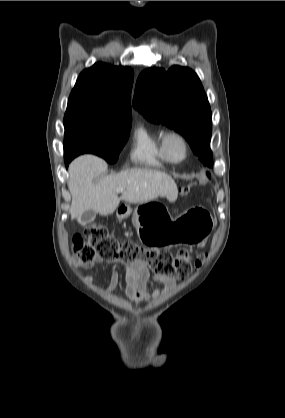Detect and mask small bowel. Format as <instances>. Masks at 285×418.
<instances>
[{
	"label": "small bowel",
	"mask_w": 285,
	"mask_h": 418,
	"mask_svg": "<svg viewBox=\"0 0 285 418\" xmlns=\"http://www.w3.org/2000/svg\"><path fill=\"white\" fill-rule=\"evenodd\" d=\"M73 261L76 265L83 269L89 270L91 273L86 276L85 280L87 283H92L95 277V265L101 263L100 259H97L94 263L89 265H81L78 263L77 259L74 258ZM126 272V296L134 301H140L146 298L148 290V281L150 278V271L148 265L144 263H137L132 265L125 266ZM168 284H173L172 280H161ZM120 283V275L118 272L114 271L111 274L110 280L107 285V291L112 292ZM160 295V289H155L152 292V298H157Z\"/></svg>",
	"instance_id": "c3829d8e"
}]
</instances>
